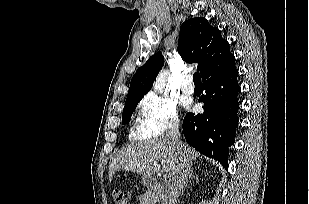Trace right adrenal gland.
Listing matches in <instances>:
<instances>
[{"label":"right adrenal gland","instance_id":"1","mask_svg":"<svg viewBox=\"0 0 309 204\" xmlns=\"http://www.w3.org/2000/svg\"><path fill=\"white\" fill-rule=\"evenodd\" d=\"M192 179H198V177L195 176V175L193 174V169L190 168V172H189V174H188V177H187L185 186H187V184H188L189 182H191Z\"/></svg>","mask_w":309,"mask_h":204}]
</instances>
